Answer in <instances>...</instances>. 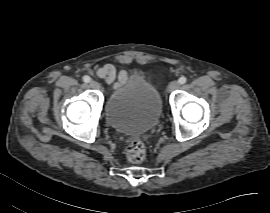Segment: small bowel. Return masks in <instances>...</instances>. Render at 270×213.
I'll return each instance as SVG.
<instances>
[{"instance_id":"c3829d8e","label":"small bowel","mask_w":270,"mask_h":213,"mask_svg":"<svg viewBox=\"0 0 270 213\" xmlns=\"http://www.w3.org/2000/svg\"><path fill=\"white\" fill-rule=\"evenodd\" d=\"M96 75L106 83L114 85L122 83L126 77L125 73L123 71H118L113 64H105L97 67Z\"/></svg>"}]
</instances>
